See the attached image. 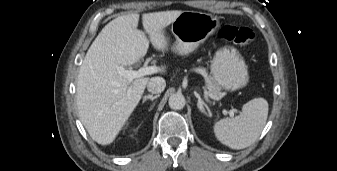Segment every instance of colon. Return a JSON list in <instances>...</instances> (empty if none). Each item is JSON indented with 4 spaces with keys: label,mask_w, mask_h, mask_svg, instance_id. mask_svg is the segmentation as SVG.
I'll return each mask as SVG.
<instances>
[{
    "label": "colon",
    "mask_w": 337,
    "mask_h": 171,
    "mask_svg": "<svg viewBox=\"0 0 337 171\" xmlns=\"http://www.w3.org/2000/svg\"><path fill=\"white\" fill-rule=\"evenodd\" d=\"M217 36L222 40L233 42L240 46H248L254 38L251 29L235 25L224 26Z\"/></svg>",
    "instance_id": "5ec220e1"
}]
</instances>
